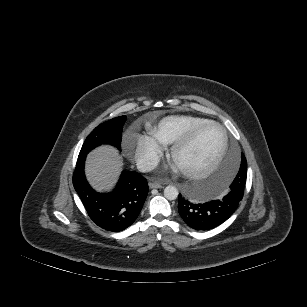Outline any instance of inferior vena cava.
<instances>
[{
    "label": "inferior vena cava",
    "mask_w": 307,
    "mask_h": 307,
    "mask_svg": "<svg viewBox=\"0 0 307 307\" xmlns=\"http://www.w3.org/2000/svg\"><path fill=\"white\" fill-rule=\"evenodd\" d=\"M159 158L157 155L144 156L137 160V168L141 172H150L157 167Z\"/></svg>",
    "instance_id": "1"
}]
</instances>
